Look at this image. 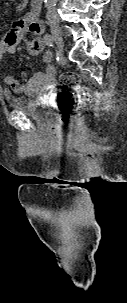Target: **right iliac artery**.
<instances>
[{
  "label": "right iliac artery",
  "instance_id": "82829eb1",
  "mask_svg": "<svg viewBox=\"0 0 127 303\" xmlns=\"http://www.w3.org/2000/svg\"><path fill=\"white\" fill-rule=\"evenodd\" d=\"M44 40L47 46L51 47L53 45V37L50 34H45Z\"/></svg>",
  "mask_w": 127,
  "mask_h": 303
}]
</instances>
